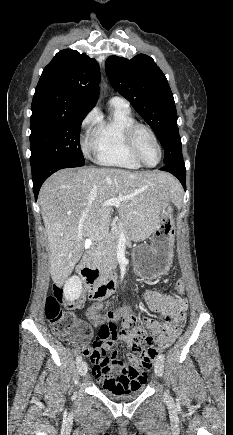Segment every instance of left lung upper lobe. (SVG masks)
<instances>
[{"instance_id": "obj_1", "label": "left lung upper lobe", "mask_w": 233, "mask_h": 435, "mask_svg": "<svg viewBox=\"0 0 233 435\" xmlns=\"http://www.w3.org/2000/svg\"><path fill=\"white\" fill-rule=\"evenodd\" d=\"M105 69L115 90L154 130L164 148V163L183 159L173 94L154 60L145 54L131 60L110 56Z\"/></svg>"}]
</instances>
